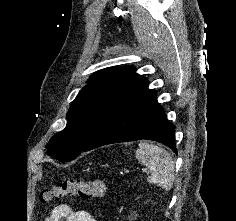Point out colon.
Here are the masks:
<instances>
[{
	"instance_id": "colon-1",
	"label": "colon",
	"mask_w": 236,
	"mask_h": 221,
	"mask_svg": "<svg viewBox=\"0 0 236 221\" xmlns=\"http://www.w3.org/2000/svg\"><path fill=\"white\" fill-rule=\"evenodd\" d=\"M107 186L102 181H85L67 177L46 187L40 193V200L49 203L57 199L78 196L81 199L100 198L106 194Z\"/></svg>"
}]
</instances>
